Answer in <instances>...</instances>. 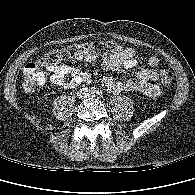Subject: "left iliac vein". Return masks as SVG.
Listing matches in <instances>:
<instances>
[{"label":"left iliac vein","instance_id":"4c4485c4","mask_svg":"<svg viewBox=\"0 0 195 195\" xmlns=\"http://www.w3.org/2000/svg\"><path fill=\"white\" fill-rule=\"evenodd\" d=\"M89 95H90L91 97H94V96H95V94H94V93H91V92H90Z\"/></svg>","mask_w":195,"mask_h":195}]
</instances>
